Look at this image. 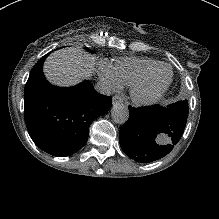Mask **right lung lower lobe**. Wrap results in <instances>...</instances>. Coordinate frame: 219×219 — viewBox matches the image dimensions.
<instances>
[{
  "mask_svg": "<svg viewBox=\"0 0 219 219\" xmlns=\"http://www.w3.org/2000/svg\"><path fill=\"white\" fill-rule=\"evenodd\" d=\"M46 55L33 67L25 86V122L35 144L55 156L78 151L87 141L89 126L112 106L89 81L69 88L55 87L43 75Z\"/></svg>",
  "mask_w": 219,
  "mask_h": 219,
  "instance_id": "right-lung-lower-lobe-1",
  "label": "right lung lower lobe"
}]
</instances>
